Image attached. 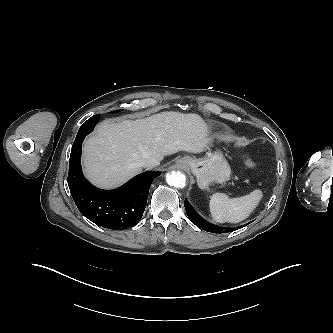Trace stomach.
Here are the masks:
<instances>
[{"label":"stomach","mask_w":333,"mask_h":333,"mask_svg":"<svg viewBox=\"0 0 333 333\" xmlns=\"http://www.w3.org/2000/svg\"><path fill=\"white\" fill-rule=\"evenodd\" d=\"M177 162H184V168L196 176L201 189L208 188L212 183H223L230 178L231 168L221 152L208 154L204 158L186 156Z\"/></svg>","instance_id":"0dacf381"}]
</instances>
